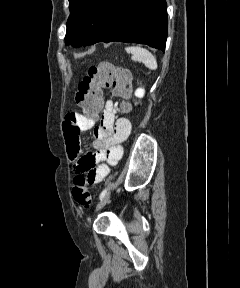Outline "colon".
<instances>
[{"label": "colon", "instance_id": "1", "mask_svg": "<svg viewBox=\"0 0 240 288\" xmlns=\"http://www.w3.org/2000/svg\"><path fill=\"white\" fill-rule=\"evenodd\" d=\"M105 86L111 88L112 95L126 99L130 94L129 73L108 63L92 66L89 69L88 74L79 83L75 94L76 104L87 118L98 117L103 104L102 88ZM128 108L127 103L122 104L123 110ZM72 195L80 206L84 208L91 206V193L85 177H75Z\"/></svg>", "mask_w": 240, "mask_h": 288}]
</instances>
